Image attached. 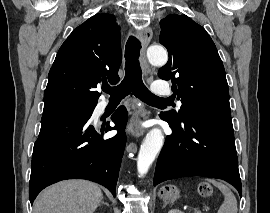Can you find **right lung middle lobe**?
<instances>
[{
	"label": "right lung middle lobe",
	"mask_w": 270,
	"mask_h": 213,
	"mask_svg": "<svg viewBox=\"0 0 270 213\" xmlns=\"http://www.w3.org/2000/svg\"><path fill=\"white\" fill-rule=\"evenodd\" d=\"M95 106L96 103L64 101L45 106L43 115L76 114L80 116H91Z\"/></svg>",
	"instance_id": "right-lung-middle-lobe-1"
}]
</instances>
